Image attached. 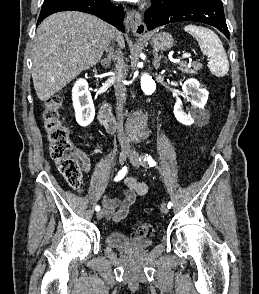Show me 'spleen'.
Masks as SVG:
<instances>
[{"label":"spleen","instance_id":"3e777b00","mask_svg":"<svg viewBox=\"0 0 259 294\" xmlns=\"http://www.w3.org/2000/svg\"><path fill=\"white\" fill-rule=\"evenodd\" d=\"M184 30L198 41L202 53L209 57L210 72L216 77L225 76L229 71V62L219 37L212 30L201 26L187 25Z\"/></svg>","mask_w":259,"mask_h":294}]
</instances>
